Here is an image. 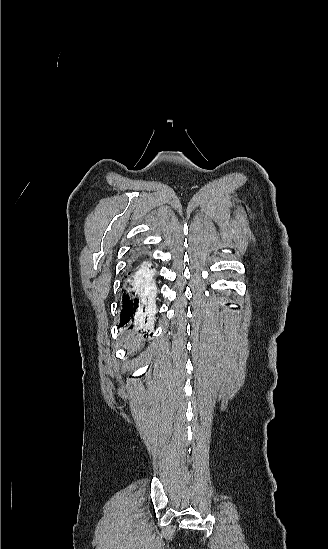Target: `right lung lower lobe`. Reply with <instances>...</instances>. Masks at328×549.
<instances>
[{"label":"right lung lower lobe","instance_id":"obj_1","mask_svg":"<svg viewBox=\"0 0 328 549\" xmlns=\"http://www.w3.org/2000/svg\"><path fill=\"white\" fill-rule=\"evenodd\" d=\"M152 279L153 270L150 262L142 261L139 264L134 262L133 268L125 277L124 289L122 290L120 326L133 321L136 314L137 318L143 319V313L146 310L143 302L144 294L151 290Z\"/></svg>","mask_w":328,"mask_h":549}]
</instances>
